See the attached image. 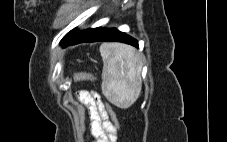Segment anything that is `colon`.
<instances>
[{
	"instance_id": "1",
	"label": "colon",
	"mask_w": 227,
	"mask_h": 142,
	"mask_svg": "<svg viewBox=\"0 0 227 142\" xmlns=\"http://www.w3.org/2000/svg\"><path fill=\"white\" fill-rule=\"evenodd\" d=\"M93 78H94L93 75L90 73H87V72H80V73H77L74 75L75 80H84V79H93ZM106 109L108 111L109 117L112 120L114 133L117 136V131H118L119 126H118V121H117L116 115L109 105H106Z\"/></svg>"
}]
</instances>
